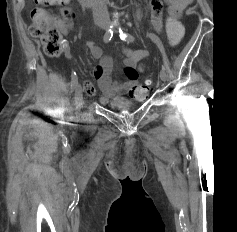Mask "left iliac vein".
<instances>
[{
    "label": "left iliac vein",
    "mask_w": 237,
    "mask_h": 232,
    "mask_svg": "<svg viewBox=\"0 0 237 232\" xmlns=\"http://www.w3.org/2000/svg\"><path fill=\"white\" fill-rule=\"evenodd\" d=\"M160 78H161V80H162L163 82H166V81H167V73H166V71H165L164 69H162V70L160 71Z\"/></svg>",
    "instance_id": "4c4485c4"
}]
</instances>
